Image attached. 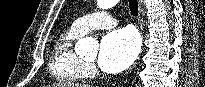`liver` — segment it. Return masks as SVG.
Here are the masks:
<instances>
[{
  "label": "liver",
  "mask_w": 205,
  "mask_h": 87,
  "mask_svg": "<svg viewBox=\"0 0 205 87\" xmlns=\"http://www.w3.org/2000/svg\"><path fill=\"white\" fill-rule=\"evenodd\" d=\"M50 87H91L85 84H74L73 82H61L57 84H53Z\"/></svg>",
  "instance_id": "1"
}]
</instances>
